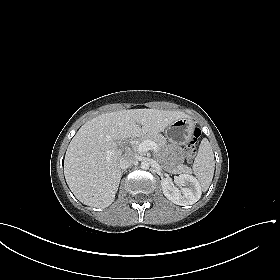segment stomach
<instances>
[{"mask_svg":"<svg viewBox=\"0 0 280 280\" xmlns=\"http://www.w3.org/2000/svg\"><path fill=\"white\" fill-rule=\"evenodd\" d=\"M194 123L189 118H181L171 123L165 130L168 140L185 143L192 137Z\"/></svg>","mask_w":280,"mask_h":280,"instance_id":"1","label":"stomach"}]
</instances>
